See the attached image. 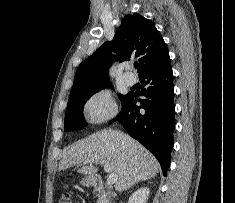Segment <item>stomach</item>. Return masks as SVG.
<instances>
[{
	"mask_svg": "<svg viewBox=\"0 0 235 203\" xmlns=\"http://www.w3.org/2000/svg\"><path fill=\"white\" fill-rule=\"evenodd\" d=\"M80 183L83 186H92L95 183V178H94V176L88 175V176L82 178Z\"/></svg>",
	"mask_w": 235,
	"mask_h": 203,
	"instance_id": "obj_1",
	"label": "stomach"
}]
</instances>
